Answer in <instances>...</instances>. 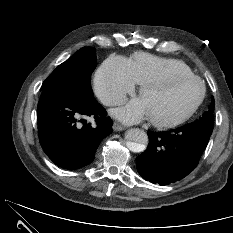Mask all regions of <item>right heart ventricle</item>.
Returning <instances> with one entry per match:
<instances>
[{
  "label": "right heart ventricle",
  "mask_w": 233,
  "mask_h": 233,
  "mask_svg": "<svg viewBox=\"0 0 233 233\" xmlns=\"http://www.w3.org/2000/svg\"><path fill=\"white\" fill-rule=\"evenodd\" d=\"M129 74L136 85H141L159 76L191 74L190 67L181 60L162 58L138 52L126 58Z\"/></svg>",
  "instance_id": "e07e8e85"
}]
</instances>
